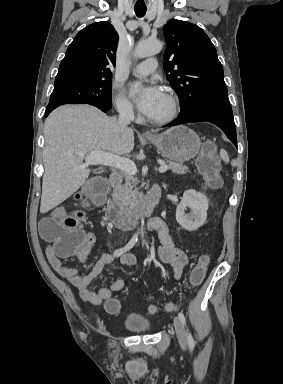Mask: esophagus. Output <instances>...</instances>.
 <instances>
[{"instance_id":"esophagus-1","label":"esophagus","mask_w":283,"mask_h":384,"mask_svg":"<svg viewBox=\"0 0 283 384\" xmlns=\"http://www.w3.org/2000/svg\"><path fill=\"white\" fill-rule=\"evenodd\" d=\"M143 135L144 136H152L153 134L151 132H144Z\"/></svg>"}]
</instances>
